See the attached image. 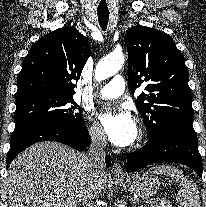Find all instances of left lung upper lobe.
Masks as SVG:
<instances>
[{"label":"left lung upper lobe","instance_id":"5c2ea615","mask_svg":"<svg viewBox=\"0 0 206 207\" xmlns=\"http://www.w3.org/2000/svg\"><path fill=\"white\" fill-rule=\"evenodd\" d=\"M128 83L132 94L146 85L135 100L149 136L148 143L178 125H192L194 113L185 60L167 34L145 26L125 34Z\"/></svg>","mask_w":206,"mask_h":207}]
</instances>
